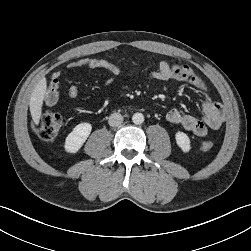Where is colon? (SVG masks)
<instances>
[{
	"label": "colon",
	"instance_id": "obj_1",
	"mask_svg": "<svg viewBox=\"0 0 251 251\" xmlns=\"http://www.w3.org/2000/svg\"><path fill=\"white\" fill-rule=\"evenodd\" d=\"M62 127V118L59 113L48 111L43 113L34 124V129L37 134L44 140L54 139ZM213 147V142L210 140L203 141L200 148L203 151H208Z\"/></svg>",
	"mask_w": 251,
	"mask_h": 251
}]
</instances>
